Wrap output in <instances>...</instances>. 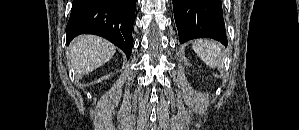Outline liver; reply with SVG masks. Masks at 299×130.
Wrapping results in <instances>:
<instances>
[{
	"label": "liver",
	"instance_id": "obj_1",
	"mask_svg": "<svg viewBox=\"0 0 299 130\" xmlns=\"http://www.w3.org/2000/svg\"><path fill=\"white\" fill-rule=\"evenodd\" d=\"M116 47L109 41L94 35L75 38L68 49V59L78 75H85L107 63Z\"/></svg>",
	"mask_w": 299,
	"mask_h": 130
}]
</instances>
